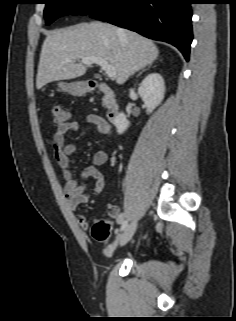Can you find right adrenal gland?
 Listing matches in <instances>:
<instances>
[{"label": "right adrenal gland", "instance_id": "1", "mask_svg": "<svg viewBox=\"0 0 236 321\" xmlns=\"http://www.w3.org/2000/svg\"><path fill=\"white\" fill-rule=\"evenodd\" d=\"M152 64L148 65L147 68L143 69L141 72H139V74L137 75V78L143 73L145 72L146 70H148L150 67H151Z\"/></svg>", "mask_w": 236, "mask_h": 321}]
</instances>
